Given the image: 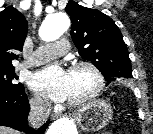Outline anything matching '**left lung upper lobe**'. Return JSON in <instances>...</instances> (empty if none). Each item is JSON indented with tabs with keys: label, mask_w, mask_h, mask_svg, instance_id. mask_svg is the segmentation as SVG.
Wrapping results in <instances>:
<instances>
[{
	"label": "left lung upper lobe",
	"mask_w": 153,
	"mask_h": 134,
	"mask_svg": "<svg viewBox=\"0 0 153 134\" xmlns=\"http://www.w3.org/2000/svg\"><path fill=\"white\" fill-rule=\"evenodd\" d=\"M65 10L72 20L71 37L81 57L91 61L108 83L133 78L127 47L114 21L74 1Z\"/></svg>",
	"instance_id": "5c2ea615"
}]
</instances>
